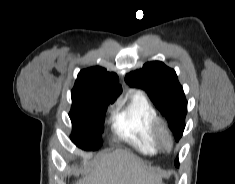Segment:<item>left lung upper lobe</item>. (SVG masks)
<instances>
[{"mask_svg":"<svg viewBox=\"0 0 235 184\" xmlns=\"http://www.w3.org/2000/svg\"><path fill=\"white\" fill-rule=\"evenodd\" d=\"M126 83L144 89L158 110L169 122L178 141L185 128L187 101L176 72L163 62L146 63L141 69L128 73ZM178 167V158L175 160Z\"/></svg>","mask_w":235,"mask_h":184,"instance_id":"1","label":"left lung upper lobe"}]
</instances>
